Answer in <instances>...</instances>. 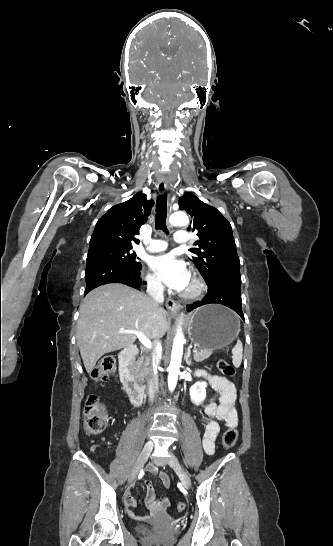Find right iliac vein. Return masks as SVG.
<instances>
[{
	"instance_id": "63e3f726",
	"label": "right iliac vein",
	"mask_w": 333,
	"mask_h": 546,
	"mask_svg": "<svg viewBox=\"0 0 333 546\" xmlns=\"http://www.w3.org/2000/svg\"><path fill=\"white\" fill-rule=\"evenodd\" d=\"M152 449H153V442L148 441L145 444L144 448L142 449V451H141V453H140V455L138 457V460L135 463V465H134V467H133V469H132V471L130 473V476H129V479H128L129 483L133 482L136 479V477H137L139 471L141 470L144 462L148 459L149 455L151 454Z\"/></svg>"
}]
</instances>
